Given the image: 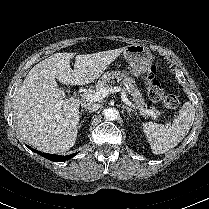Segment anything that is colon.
Instances as JSON below:
<instances>
[{"label": "colon", "mask_w": 209, "mask_h": 209, "mask_svg": "<svg viewBox=\"0 0 209 209\" xmlns=\"http://www.w3.org/2000/svg\"><path fill=\"white\" fill-rule=\"evenodd\" d=\"M144 83L149 97L153 101L160 102L167 109H176L179 106L178 98L164 91L156 76V66L154 64L150 66L149 72L145 76Z\"/></svg>", "instance_id": "5ec220e1"}]
</instances>
